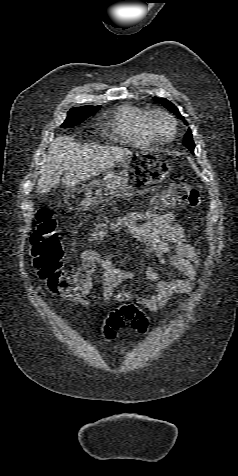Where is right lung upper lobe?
Wrapping results in <instances>:
<instances>
[{"instance_id": "cb5924a9", "label": "right lung upper lobe", "mask_w": 238, "mask_h": 476, "mask_svg": "<svg viewBox=\"0 0 238 476\" xmlns=\"http://www.w3.org/2000/svg\"><path fill=\"white\" fill-rule=\"evenodd\" d=\"M83 107H100V106H90V105H86V106H82L81 108Z\"/></svg>"}]
</instances>
